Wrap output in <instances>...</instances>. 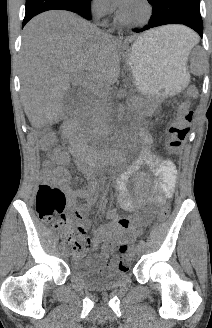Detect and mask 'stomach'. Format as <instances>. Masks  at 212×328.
Wrapping results in <instances>:
<instances>
[{"mask_svg": "<svg viewBox=\"0 0 212 328\" xmlns=\"http://www.w3.org/2000/svg\"><path fill=\"white\" fill-rule=\"evenodd\" d=\"M182 50L168 40L140 36L129 58L137 89L144 95L155 96L162 90L177 92L185 87L189 73Z\"/></svg>", "mask_w": 212, "mask_h": 328, "instance_id": "1", "label": "stomach"}]
</instances>
